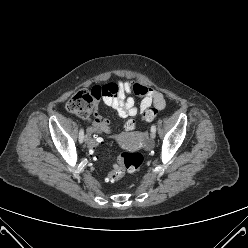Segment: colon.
<instances>
[{
  "mask_svg": "<svg viewBox=\"0 0 248 248\" xmlns=\"http://www.w3.org/2000/svg\"><path fill=\"white\" fill-rule=\"evenodd\" d=\"M117 86L113 84H107L104 86L94 87L91 91L82 90L76 93L67 103V109L80 117L87 118L93 112L94 100L109 93L115 94L117 92ZM157 116V111L153 108L147 109L142 119L145 121H151ZM125 128L128 131H132L135 128V122L128 120L125 124ZM86 142L91 146V152L98 145L99 135L95 128H88L85 131ZM97 144V145H96ZM144 161L143 155L138 151H129L122 153L117 162L108 170L107 177L112 180H119L125 174H135L140 171Z\"/></svg>",
  "mask_w": 248,
  "mask_h": 248,
  "instance_id": "obj_1",
  "label": "colon"
}]
</instances>
